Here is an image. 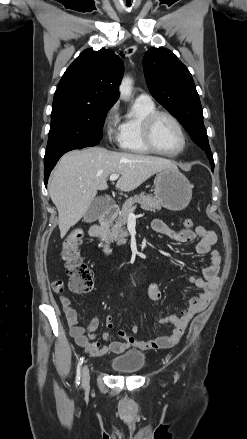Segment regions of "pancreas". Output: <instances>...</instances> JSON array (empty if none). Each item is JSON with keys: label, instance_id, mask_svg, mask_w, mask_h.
Returning a JSON list of instances; mask_svg holds the SVG:
<instances>
[{"label": "pancreas", "instance_id": "cf45deb5", "mask_svg": "<svg viewBox=\"0 0 247 439\" xmlns=\"http://www.w3.org/2000/svg\"><path fill=\"white\" fill-rule=\"evenodd\" d=\"M137 203L140 204L141 208L146 211L156 212L161 210V204L151 194L141 193L140 195H135L126 200L119 212L115 224H112L111 228L107 232L108 238L112 242H116L119 246H122L126 243L125 237H127L129 234L127 230H125V225L127 223L129 213L133 209V205Z\"/></svg>", "mask_w": 247, "mask_h": 439}]
</instances>
